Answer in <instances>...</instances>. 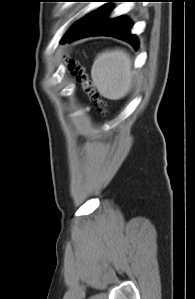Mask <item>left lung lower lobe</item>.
Listing matches in <instances>:
<instances>
[{
  "label": "left lung lower lobe",
  "mask_w": 195,
  "mask_h": 299,
  "mask_svg": "<svg viewBox=\"0 0 195 299\" xmlns=\"http://www.w3.org/2000/svg\"><path fill=\"white\" fill-rule=\"evenodd\" d=\"M109 13L110 7L102 6L82 17L68 29L61 43L85 36L106 35L123 39L137 48L138 41L130 32L132 23L125 17L108 18Z\"/></svg>",
  "instance_id": "left-lung-lower-lobe-1"
}]
</instances>
